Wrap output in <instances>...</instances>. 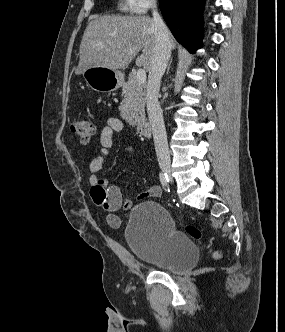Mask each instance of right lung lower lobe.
Returning a JSON list of instances; mask_svg holds the SVG:
<instances>
[{
	"mask_svg": "<svg viewBox=\"0 0 285 332\" xmlns=\"http://www.w3.org/2000/svg\"><path fill=\"white\" fill-rule=\"evenodd\" d=\"M162 15L176 40L194 52L202 37L205 0H159Z\"/></svg>",
	"mask_w": 285,
	"mask_h": 332,
	"instance_id": "right-lung-lower-lobe-1",
	"label": "right lung lower lobe"
}]
</instances>
